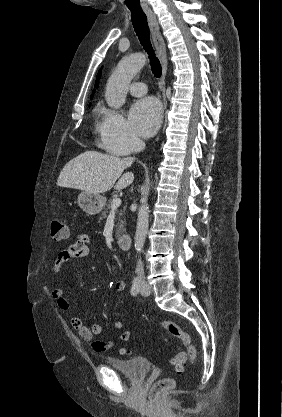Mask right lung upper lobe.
Instances as JSON below:
<instances>
[{"instance_id":"obj_1","label":"right lung upper lobe","mask_w":282,"mask_h":417,"mask_svg":"<svg viewBox=\"0 0 282 417\" xmlns=\"http://www.w3.org/2000/svg\"><path fill=\"white\" fill-rule=\"evenodd\" d=\"M100 76H101V69L99 70L97 78H96V82H95L96 87L98 86V81H99ZM93 92H94V90H93Z\"/></svg>"}]
</instances>
